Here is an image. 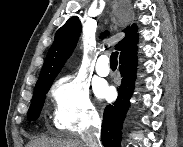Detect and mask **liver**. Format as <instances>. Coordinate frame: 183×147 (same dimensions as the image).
Instances as JSON below:
<instances>
[{
    "instance_id": "liver-1",
    "label": "liver",
    "mask_w": 183,
    "mask_h": 147,
    "mask_svg": "<svg viewBox=\"0 0 183 147\" xmlns=\"http://www.w3.org/2000/svg\"><path fill=\"white\" fill-rule=\"evenodd\" d=\"M27 147H86L85 143L73 139L41 138L31 141Z\"/></svg>"
}]
</instances>
